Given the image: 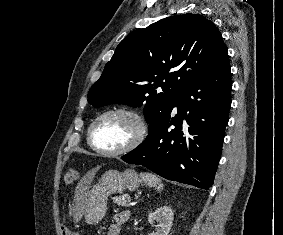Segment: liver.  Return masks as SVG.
<instances>
[{"label":"liver","mask_w":283,"mask_h":235,"mask_svg":"<svg viewBox=\"0 0 283 235\" xmlns=\"http://www.w3.org/2000/svg\"><path fill=\"white\" fill-rule=\"evenodd\" d=\"M101 168V166H97L90 170L83 178L82 180L78 183L76 190H75V211L81 210L80 208V198L82 195H84L88 189L89 186L96 174V172ZM79 218L76 217V221H78Z\"/></svg>","instance_id":"liver-1"}]
</instances>
